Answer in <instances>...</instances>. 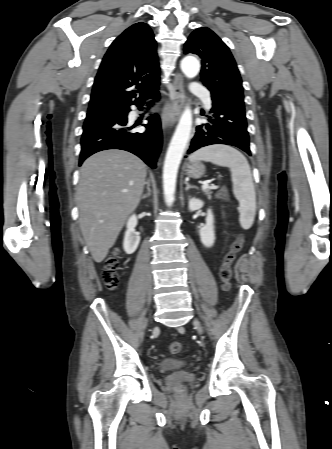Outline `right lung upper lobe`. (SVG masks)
Returning a JSON list of instances; mask_svg holds the SVG:
<instances>
[{
    "mask_svg": "<svg viewBox=\"0 0 332 449\" xmlns=\"http://www.w3.org/2000/svg\"><path fill=\"white\" fill-rule=\"evenodd\" d=\"M160 68L152 30L143 22L126 29L110 45L92 89L88 113L125 108L144 101L159 86ZM140 94L139 98H133Z\"/></svg>",
    "mask_w": 332,
    "mask_h": 449,
    "instance_id": "cb5924a9",
    "label": "right lung upper lobe"
}]
</instances>
